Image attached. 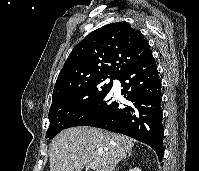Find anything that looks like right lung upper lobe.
<instances>
[{
  "mask_svg": "<svg viewBox=\"0 0 199 171\" xmlns=\"http://www.w3.org/2000/svg\"><path fill=\"white\" fill-rule=\"evenodd\" d=\"M152 56L140 31L122 21L105 25L78 43L57 78L52 102L79 85L102 77H117L130 66Z\"/></svg>",
  "mask_w": 199,
  "mask_h": 171,
  "instance_id": "cb5924a9",
  "label": "right lung upper lobe"
}]
</instances>
